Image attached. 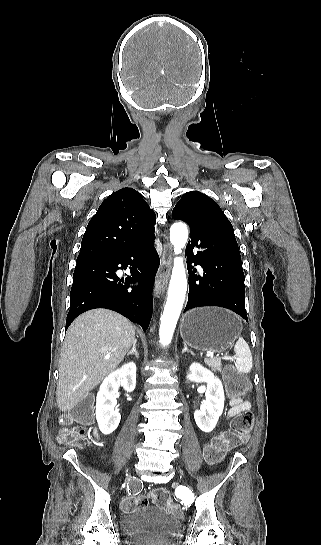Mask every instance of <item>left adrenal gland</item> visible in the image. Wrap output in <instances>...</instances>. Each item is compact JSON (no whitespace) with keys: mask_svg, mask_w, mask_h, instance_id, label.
<instances>
[{"mask_svg":"<svg viewBox=\"0 0 321 545\" xmlns=\"http://www.w3.org/2000/svg\"><path fill=\"white\" fill-rule=\"evenodd\" d=\"M182 353H191V355H194L193 351H189L187 345H184V349H182Z\"/></svg>","mask_w":321,"mask_h":545,"instance_id":"left-adrenal-gland-1","label":"left adrenal gland"}]
</instances>
